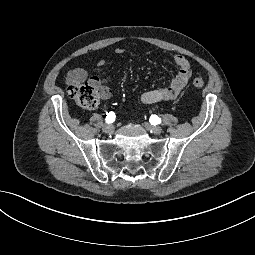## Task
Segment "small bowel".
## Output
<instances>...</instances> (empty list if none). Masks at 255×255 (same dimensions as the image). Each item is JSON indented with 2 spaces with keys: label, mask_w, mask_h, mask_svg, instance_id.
<instances>
[{
  "label": "small bowel",
  "mask_w": 255,
  "mask_h": 255,
  "mask_svg": "<svg viewBox=\"0 0 255 255\" xmlns=\"http://www.w3.org/2000/svg\"><path fill=\"white\" fill-rule=\"evenodd\" d=\"M125 52L122 48H117L115 53L122 55ZM173 61L178 67V71L174 78L165 86L143 92L140 95V101L144 104H154L162 101H169L177 98L184 87L187 85L189 78L192 75L190 62L182 55H174ZM105 65V60L98 61L97 66ZM66 81L69 85H81L89 82L99 91V95L103 99H107L111 95L108 87L109 78L106 76H90L88 71L84 68L77 67L71 69Z\"/></svg>",
  "instance_id": "small-bowel-1"
}]
</instances>
